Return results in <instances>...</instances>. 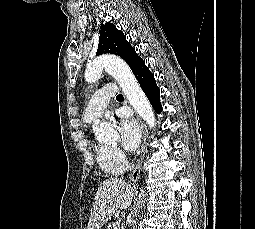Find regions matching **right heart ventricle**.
Segmentation results:
<instances>
[{
	"label": "right heart ventricle",
	"mask_w": 255,
	"mask_h": 229,
	"mask_svg": "<svg viewBox=\"0 0 255 229\" xmlns=\"http://www.w3.org/2000/svg\"><path fill=\"white\" fill-rule=\"evenodd\" d=\"M87 128H91L93 124L86 122ZM94 152L99 167L110 175H121L127 169V162L119 158L114 148L103 144H94Z\"/></svg>",
	"instance_id": "e07e8e85"
}]
</instances>
